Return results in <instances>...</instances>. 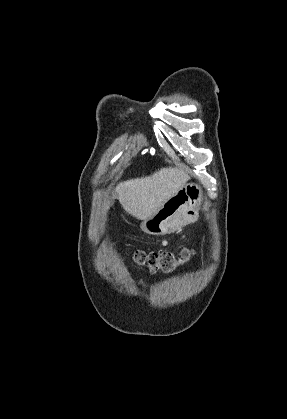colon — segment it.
<instances>
[{
  "instance_id": "obj_1",
  "label": "colon",
  "mask_w": 287,
  "mask_h": 419,
  "mask_svg": "<svg viewBox=\"0 0 287 419\" xmlns=\"http://www.w3.org/2000/svg\"><path fill=\"white\" fill-rule=\"evenodd\" d=\"M191 252L183 250L179 256L167 251H142L138 250L134 253L135 261L141 266L149 267L153 272L162 271L169 273L173 271L178 264L187 259Z\"/></svg>"
}]
</instances>
